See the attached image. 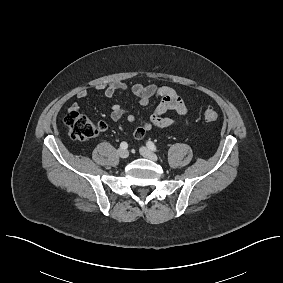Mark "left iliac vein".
<instances>
[{
    "mask_svg": "<svg viewBox=\"0 0 283 283\" xmlns=\"http://www.w3.org/2000/svg\"><path fill=\"white\" fill-rule=\"evenodd\" d=\"M140 153L143 157L150 159L152 161H157L158 160V156L156 154H154L153 152H151L148 148L146 147H141L140 148Z\"/></svg>",
    "mask_w": 283,
    "mask_h": 283,
    "instance_id": "4c4485c4",
    "label": "left iliac vein"
}]
</instances>
